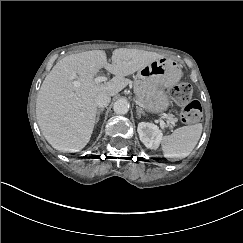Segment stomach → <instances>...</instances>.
<instances>
[{
	"label": "stomach",
	"mask_w": 243,
	"mask_h": 243,
	"mask_svg": "<svg viewBox=\"0 0 243 243\" xmlns=\"http://www.w3.org/2000/svg\"><path fill=\"white\" fill-rule=\"evenodd\" d=\"M180 66L165 58L152 61L137 72L134 91L139 103L148 111L162 113L170 105L166 89L179 82Z\"/></svg>",
	"instance_id": "1"
}]
</instances>
